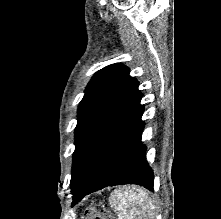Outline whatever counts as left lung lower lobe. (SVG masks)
<instances>
[{
	"instance_id": "1",
	"label": "left lung lower lobe",
	"mask_w": 221,
	"mask_h": 219,
	"mask_svg": "<svg viewBox=\"0 0 221 219\" xmlns=\"http://www.w3.org/2000/svg\"><path fill=\"white\" fill-rule=\"evenodd\" d=\"M140 98L122 115L97 144L72 189L73 204L107 186L139 184L153 190V171L141 142L144 123Z\"/></svg>"
}]
</instances>
